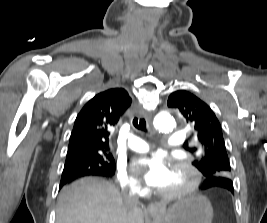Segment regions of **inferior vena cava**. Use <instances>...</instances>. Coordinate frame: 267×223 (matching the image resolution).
I'll use <instances>...</instances> for the list:
<instances>
[{
  "label": "inferior vena cava",
  "instance_id": "1",
  "mask_svg": "<svg viewBox=\"0 0 267 223\" xmlns=\"http://www.w3.org/2000/svg\"><path fill=\"white\" fill-rule=\"evenodd\" d=\"M123 199L124 202L129 206L137 205L139 203L138 196L135 193L124 192Z\"/></svg>",
  "mask_w": 267,
  "mask_h": 223
}]
</instances>
